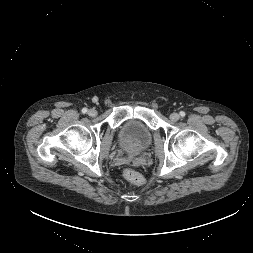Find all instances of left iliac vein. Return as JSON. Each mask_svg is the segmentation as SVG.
Segmentation results:
<instances>
[{
	"label": "left iliac vein",
	"mask_w": 253,
	"mask_h": 253,
	"mask_svg": "<svg viewBox=\"0 0 253 253\" xmlns=\"http://www.w3.org/2000/svg\"><path fill=\"white\" fill-rule=\"evenodd\" d=\"M179 118H180V116H179L178 113H172V114L170 115V119H171L172 121H178Z\"/></svg>",
	"instance_id": "4c4485c4"
}]
</instances>
